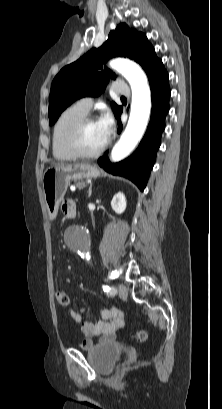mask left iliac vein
I'll return each instance as SVG.
<instances>
[{"label":"left iliac vein","mask_w":222,"mask_h":409,"mask_svg":"<svg viewBox=\"0 0 222 409\" xmlns=\"http://www.w3.org/2000/svg\"><path fill=\"white\" fill-rule=\"evenodd\" d=\"M117 288H118V294H119V296H120L122 299H125V298L127 297V295H128V290H127L126 286L123 285V284H119V285L117 286Z\"/></svg>","instance_id":"4c4485c4"}]
</instances>
